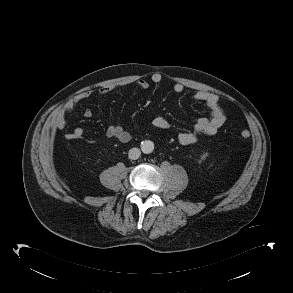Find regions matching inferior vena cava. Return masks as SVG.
<instances>
[{
	"mask_svg": "<svg viewBox=\"0 0 293 293\" xmlns=\"http://www.w3.org/2000/svg\"><path fill=\"white\" fill-rule=\"evenodd\" d=\"M141 151L139 148H131L128 153L129 159L136 160L140 157Z\"/></svg>",
	"mask_w": 293,
	"mask_h": 293,
	"instance_id": "602c4592",
	"label": "inferior vena cava"
}]
</instances>
